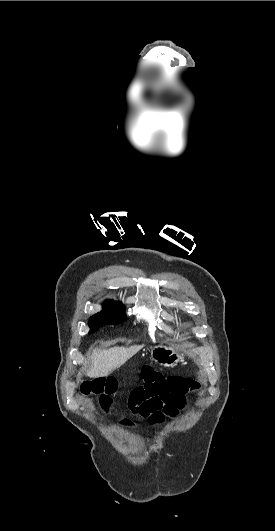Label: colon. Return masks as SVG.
<instances>
[{
  "label": "colon",
  "mask_w": 275,
  "mask_h": 531,
  "mask_svg": "<svg viewBox=\"0 0 275 531\" xmlns=\"http://www.w3.org/2000/svg\"><path fill=\"white\" fill-rule=\"evenodd\" d=\"M104 381L99 376L81 378L76 383L77 396L82 401H97L102 396Z\"/></svg>",
  "instance_id": "5ec220e1"
}]
</instances>
